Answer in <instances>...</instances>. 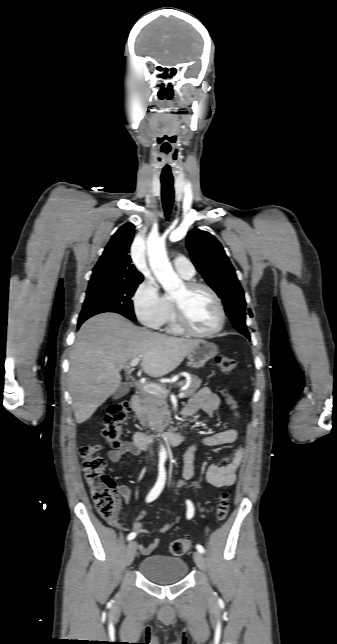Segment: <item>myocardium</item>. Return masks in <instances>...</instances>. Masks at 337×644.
I'll list each match as a JSON object with an SVG mask.
<instances>
[{"instance_id": "1", "label": "myocardium", "mask_w": 337, "mask_h": 644, "mask_svg": "<svg viewBox=\"0 0 337 644\" xmlns=\"http://www.w3.org/2000/svg\"><path fill=\"white\" fill-rule=\"evenodd\" d=\"M198 289L207 290L216 302V305L218 307V312H219V321L216 327L208 332H197L193 330L187 322L184 306L182 302L173 299L171 303H172L174 320L177 327L181 330V332L189 336L196 337V338H204V339L212 338L216 336L218 333H220L225 326V322H226L225 307L222 299L220 298L216 290L212 288L210 285L199 281H188L185 284L186 293H191Z\"/></svg>"}]
</instances>
